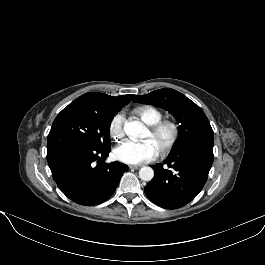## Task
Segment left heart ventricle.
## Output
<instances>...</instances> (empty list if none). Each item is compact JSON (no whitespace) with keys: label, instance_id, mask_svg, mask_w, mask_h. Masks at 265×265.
Returning <instances> with one entry per match:
<instances>
[{"label":"left heart ventricle","instance_id":"b2bd125f","mask_svg":"<svg viewBox=\"0 0 265 265\" xmlns=\"http://www.w3.org/2000/svg\"><path fill=\"white\" fill-rule=\"evenodd\" d=\"M168 138H169L168 130H164L157 137H152L149 131H147L145 135V140L151 141L157 150L168 140Z\"/></svg>","mask_w":265,"mask_h":265}]
</instances>
